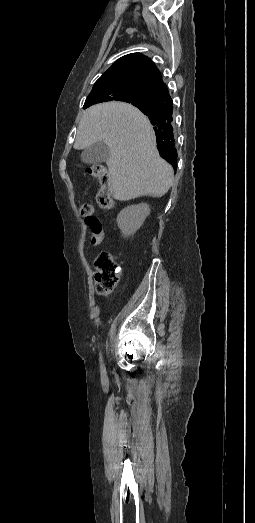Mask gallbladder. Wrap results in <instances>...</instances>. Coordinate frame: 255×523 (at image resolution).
I'll use <instances>...</instances> for the list:
<instances>
[{"label":"gallbladder","instance_id":"1","mask_svg":"<svg viewBox=\"0 0 255 523\" xmlns=\"http://www.w3.org/2000/svg\"><path fill=\"white\" fill-rule=\"evenodd\" d=\"M110 158V150L105 142H95L92 146L84 148L81 154L82 162L85 164H94L100 166L102 162H106Z\"/></svg>","mask_w":255,"mask_h":523}]
</instances>
